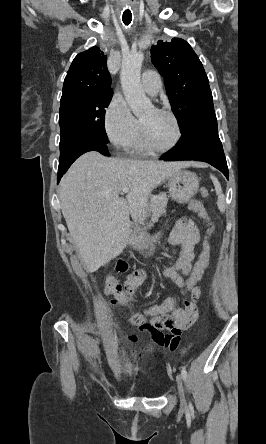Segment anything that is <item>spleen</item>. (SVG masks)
Returning a JSON list of instances; mask_svg holds the SVG:
<instances>
[{"label": "spleen", "instance_id": "obj_1", "mask_svg": "<svg viewBox=\"0 0 266 444\" xmlns=\"http://www.w3.org/2000/svg\"><path fill=\"white\" fill-rule=\"evenodd\" d=\"M210 177H211V179L213 181V184H214L215 190H216V194L218 196L217 206H218V208H219V210L221 212H224V210H225V197H224V194L222 192L221 185H220L218 179L215 176L211 175Z\"/></svg>", "mask_w": 266, "mask_h": 444}]
</instances>
